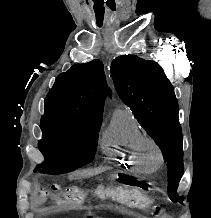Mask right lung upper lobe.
Segmentation results:
<instances>
[{
  "instance_id": "obj_1",
  "label": "right lung upper lobe",
  "mask_w": 211,
  "mask_h": 218,
  "mask_svg": "<svg viewBox=\"0 0 211 218\" xmlns=\"http://www.w3.org/2000/svg\"><path fill=\"white\" fill-rule=\"evenodd\" d=\"M107 84L102 61L74 65L61 73L45 99V113L102 119Z\"/></svg>"
}]
</instances>
